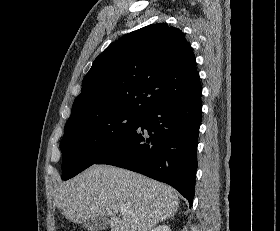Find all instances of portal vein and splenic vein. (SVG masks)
Listing matches in <instances>:
<instances>
[{"instance_id":"portal-vein-and-splenic-vein-1","label":"portal vein and splenic vein","mask_w":280,"mask_h":231,"mask_svg":"<svg viewBox=\"0 0 280 231\" xmlns=\"http://www.w3.org/2000/svg\"><path fill=\"white\" fill-rule=\"evenodd\" d=\"M120 213H126V209H120Z\"/></svg>"}]
</instances>
